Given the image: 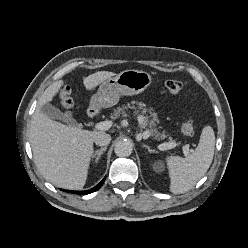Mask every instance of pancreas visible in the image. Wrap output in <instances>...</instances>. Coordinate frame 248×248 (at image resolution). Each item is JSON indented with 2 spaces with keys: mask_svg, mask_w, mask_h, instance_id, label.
Listing matches in <instances>:
<instances>
[{
  "mask_svg": "<svg viewBox=\"0 0 248 248\" xmlns=\"http://www.w3.org/2000/svg\"><path fill=\"white\" fill-rule=\"evenodd\" d=\"M135 104L137 105V108L141 110L140 120L142 121V128H146L147 131L151 136H155V139L158 140H164L168 135H166L165 131L159 132L158 128L156 127V123L159 122L157 115L155 112H152V108L147 109L146 105L142 102H132L131 104L123 105L122 107H118L113 111V114L111 116L112 119L118 118L120 115L127 116L126 110L128 108L135 109ZM134 114H139V110H135ZM152 117V119H150ZM170 142H173L172 138L169 137Z\"/></svg>",
  "mask_w": 248,
  "mask_h": 248,
  "instance_id": "pancreas-1",
  "label": "pancreas"
}]
</instances>
